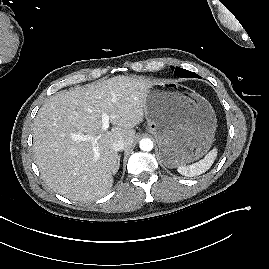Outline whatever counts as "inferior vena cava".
Instances as JSON below:
<instances>
[{"label":"inferior vena cava","mask_w":269,"mask_h":269,"mask_svg":"<svg viewBox=\"0 0 269 269\" xmlns=\"http://www.w3.org/2000/svg\"><path fill=\"white\" fill-rule=\"evenodd\" d=\"M125 147V143L122 140H117L112 143V149L116 152L122 151Z\"/></svg>","instance_id":"obj_1"}]
</instances>
